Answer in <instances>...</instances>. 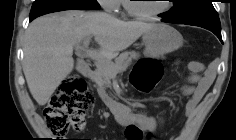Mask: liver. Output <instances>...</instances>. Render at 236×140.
<instances>
[{"instance_id":"1","label":"liver","mask_w":236,"mask_h":140,"mask_svg":"<svg viewBox=\"0 0 236 140\" xmlns=\"http://www.w3.org/2000/svg\"><path fill=\"white\" fill-rule=\"evenodd\" d=\"M155 23L122 21L103 12L65 11L38 17L24 38L23 72L30 93L43 106L74 68L73 46L94 36L108 60L130 47Z\"/></svg>"}]
</instances>
